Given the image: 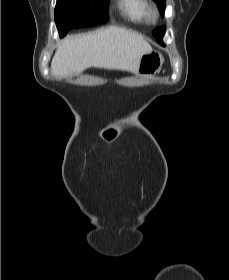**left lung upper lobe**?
I'll return each mask as SVG.
<instances>
[{"label":"left lung upper lobe","mask_w":229,"mask_h":280,"mask_svg":"<svg viewBox=\"0 0 229 280\" xmlns=\"http://www.w3.org/2000/svg\"><path fill=\"white\" fill-rule=\"evenodd\" d=\"M154 1H156L158 3L159 10L162 13V15H164L165 6H166L165 0H154ZM152 34L159 44L164 45L163 40H162V38L165 34V28L164 27H159V28L155 29L152 32Z\"/></svg>","instance_id":"obj_1"}]
</instances>
